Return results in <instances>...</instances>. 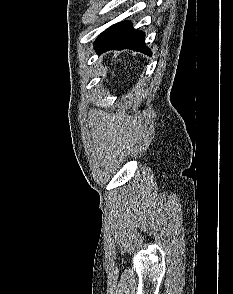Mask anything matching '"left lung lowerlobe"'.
I'll return each mask as SVG.
<instances>
[{"mask_svg":"<svg viewBox=\"0 0 233 294\" xmlns=\"http://www.w3.org/2000/svg\"><path fill=\"white\" fill-rule=\"evenodd\" d=\"M97 53L109 50L130 49L152 55L151 50L145 45L144 33L133 30L130 22L124 21L115 24L101 33L94 43Z\"/></svg>","mask_w":233,"mask_h":294,"instance_id":"1","label":"left lung lower lobe"}]
</instances>
